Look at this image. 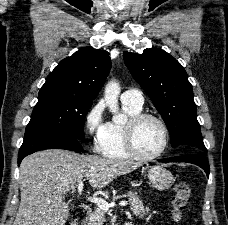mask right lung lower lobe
<instances>
[{"label": "right lung lower lobe", "instance_id": "right-lung-lower-lobe-1", "mask_svg": "<svg viewBox=\"0 0 228 225\" xmlns=\"http://www.w3.org/2000/svg\"><path fill=\"white\" fill-rule=\"evenodd\" d=\"M44 149H66L83 152L79 140L60 132L42 131L26 134L18 153V165L21 160L34 152Z\"/></svg>", "mask_w": 228, "mask_h": 225}]
</instances>
